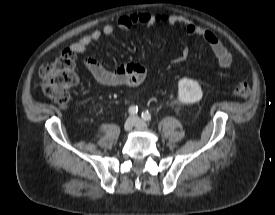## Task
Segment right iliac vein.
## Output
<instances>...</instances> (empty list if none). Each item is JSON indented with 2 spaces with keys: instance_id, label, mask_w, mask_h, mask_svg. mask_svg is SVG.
Listing matches in <instances>:
<instances>
[{
  "instance_id": "right-iliac-vein-1",
  "label": "right iliac vein",
  "mask_w": 275,
  "mask_h": 215,
  "mask_svg": "<svg viewBox=\"0 0 275 215\" xmlns=\"http://www.w3.org/2000/svg\"><path fill=\"white\" fill-rule=\"evenodd\" d=\"M133 126H134V119L128 118L124 123V130L130 131L133 128Z\"/></svg>"
}]
</instances>
